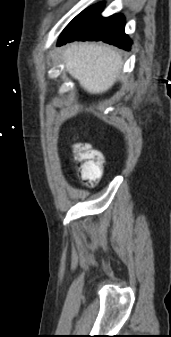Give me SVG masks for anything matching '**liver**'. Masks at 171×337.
<instances>
[{
  "instance_id": "6515ba94",
  "label": "liver",
  "mask_w": 171,
  "mask_h": 337,
  "mask_svg": "<svg viewBox=\"0 0 171 337\" xmlns=\"http://www.w3.org/2000/svg\"><path fill=\"white\" fill-rule=\"evenodd\" d=\"M62 60L69 74L91 94L110 89L122 67L120 53L106 45L72 43L65 48Z\"/></svg>"
}]
</instances>
